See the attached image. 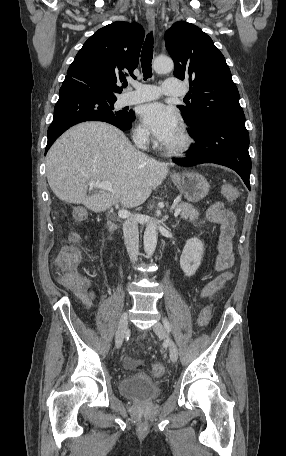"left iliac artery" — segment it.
Segmentation results:
<instances>
[{
	"label": "left iliac artery",
	"mask_w": 286,
	"mask_h": 456,
	"mask_svg": "<svg viewBox=\"0 0 286 456\" xmlns=\"http://www.w3.org/2000/svg\"><path fill=\"white\" fill-rule=\"evenodd\" d=\"M163 324H164V326H165V328L167 329L168 332L171 331V325H170L169 321L166 318L163 319Z\"/></svg>",
	"instance_id": "44dca946"
}]
</instances>
